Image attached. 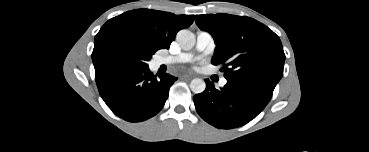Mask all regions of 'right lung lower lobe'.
<instances>
[{"label": "right lung lower lobe", "mask_w": 369, "mask_h": 152, "mask_svg": "<svg viewBox=\"0 0 369 152\" xmlns=\"http://www.w3.org/2000/svg\"><path fill=\"white\" fill-rule=\"evenodd\" d=\"M176 77L156 78L149 68H130L96 80L102 99L114 114L130 121H144L164 106Z\"/></svg>", "instance_id": "obj_1"}]
</instances>
